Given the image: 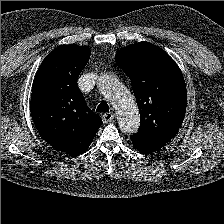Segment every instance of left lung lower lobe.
<instances>
[{"label": "left lung lower lobe", "mask_w": 224, "mask_h": 224, "mask_svg": "<svg viewBox=\"0 0 224 224\" xmlns=\"http://www.w3.org/2000/svg\"><path fill=\"white\" fill-rule=\"evenodd\" d=\"M133 146L143 154L152 153L161 149L165 143L143 132L130 136Z\"/></svg>", "instance_id": "left-lung-lower-lobe-1"}]
</instances>
